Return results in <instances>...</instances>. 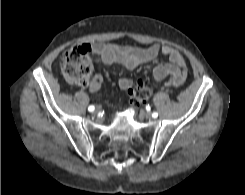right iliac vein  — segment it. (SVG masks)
Instances as JSON below:
<instances>
[{"instance_id": "1", "label": "right iliac vein", "mask_w": 245, "mask_h": 195, "mask_svg": "<svg viewBox=\"0 0 245 195\" xmlns=\"http://www.w3.org/2000/svg\"><path fill=\"white\" fill-rule=\"evenodd\" d=\"M98 112H99V108H96L94 114H97Z\"/></svg>"}]
</instances>
